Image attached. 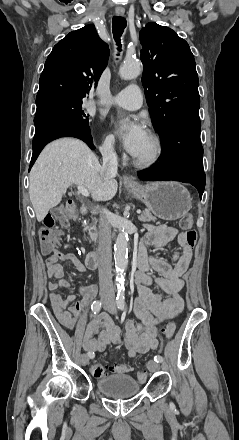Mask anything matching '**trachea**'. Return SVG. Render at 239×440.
I'll return each mask as SVG.
<instances>
[{"instance_id": "1", "label": "trachea", "mask_w": 239, "mask_h": 440, "mask_svg": "<svg viewBox=\"0 0 239 440\" xmlns=\"http://www.w3.org/2000/svg\"><path fill=\"white\" fill-rule=\"evenodd\" d=\"M127 21L124 17H113L112 20V31L114 40L117 42L118 50L121 51V44H120V38L124 32V29L126 28Z\"/></svg>"}]
</instances>
